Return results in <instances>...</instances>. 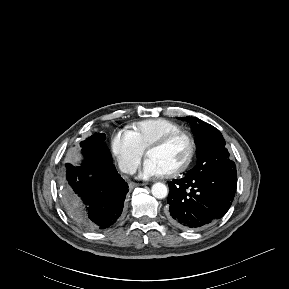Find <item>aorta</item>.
I'll use <instances>...</instances> for the list:
<instances>
[{
	"label": "aorta",
	"mask_w": 289,
	"mask_h": 289,
	"mask_svg": "<svg viewBox=\"0 0 289 289\" xmlns=\"http://www.w3.org/2000/svg\"><path fill=\"white\" fill-rule=\"evenodd\" d=\"M151 192L152 195L157 199H163L168 194L166 185L160 182L153 184Z\"/></svg>",
	"instance_id": "1"
}]
</instances>
